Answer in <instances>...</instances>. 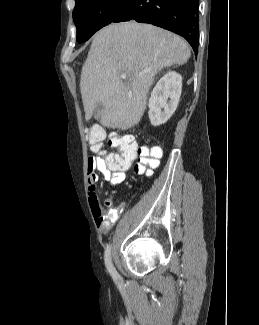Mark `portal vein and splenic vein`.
Returning <instances> with one entry per match:
<instances>
[{
	"label": "portal vein and splenic vein",
	"instance_id": "18ae733b",
	"mask_svg": "<svg viewBox=\"0 0 259 325\" xmlns=\"http://www.w3.org/2000/svg\"><path fill=\"white\" fill-rule=\"evenodd\" d=\"M121 78H122L123 80H126V75H122Z\"/></svg>",
	"mask_w": 259,
	"mask_h": 325
}]
</instances>
